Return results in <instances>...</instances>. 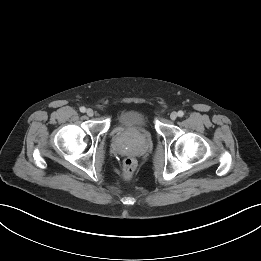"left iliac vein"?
Here are the masks:
<instances>
[{"label": "left iliac vein", "mask_w": 261, "mask_h": 261, "mask_svg": "<svg viewBox=\"0 0 261 261\" xmlns=\"http://www.w3.org/2000/svg\"><path fill=\"white\" fill-rule=\"evenodd\" d=\"M177 113L176 112H172L171 114H170V118H171V120H175L176 118H177Z\"/></svg>", "instance_id": "1"}]
</instances>
